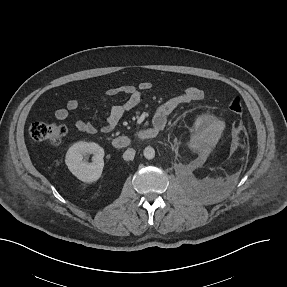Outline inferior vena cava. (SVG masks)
Masks as SVG:
<instances>
[{
    "label": "inferior vena cava",
    "instance_id": "inferior-vena-cava-1",
    "mask_svg": "<svg viewBox=\"0 0 287 287\" xmlns=\"http://www.w3.org/2000/svg\"><path fill=\"white\" fill-rule=\"evenodd\" d=\"M135 153L136 151L133 148H128L123 154V159L126 161L133 160Z\"/></svg>",
    "mask_w": 287,
    "mask_h": 287
}]
</instances>
